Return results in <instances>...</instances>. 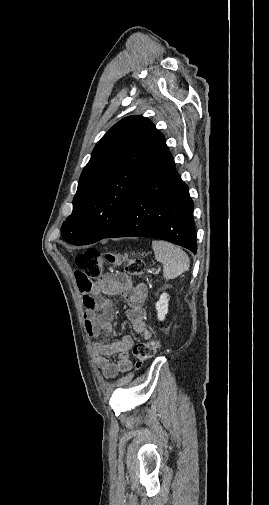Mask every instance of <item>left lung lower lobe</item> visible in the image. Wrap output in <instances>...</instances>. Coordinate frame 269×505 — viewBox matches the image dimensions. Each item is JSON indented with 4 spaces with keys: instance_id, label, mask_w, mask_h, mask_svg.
I'll list each match as a JSON object with an SVG mask.
<instances>
[{
    "instance_id": "left-lung-lower-lobe-1",
    "label": "left lung lower lobe",
    "mask_w": 269,
    "mask_h": 505,
    "mask_svg": "<svg viewBox=\"0 0 269 505\" xmlns=\"http://www.w3.org/2000/svg\"><path fill=\"white\" fill-rule=\"evenodd\" d=\"M193 208L188 187L177 173L174 159L160 133L123 213L104 238H158L195 254Z\"/></svg>"
}]
</instances>
